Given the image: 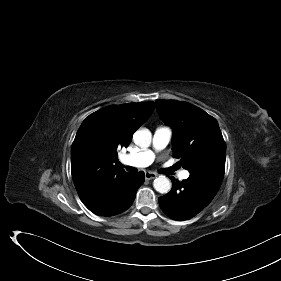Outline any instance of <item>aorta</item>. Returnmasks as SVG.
I'll list each match as a JSON object with an SVG mask.
<instances>
[{
    "label": "aorta",
    "instance_id": "aorta-1",
    "mask_svg": "<svg viewBox=\"0 0 281 281\" xmlns=\"http://www.w3.org/2000/svg\"><path fill=\"white\" fill-rule=\"evenodd\" d=\"M133 140L137 146L147 148L151 144L152 134L148 129H139L134 133ZM171 186L170 180L165 176H159L153 182L154 189L161 194L168 193Z\"/></svg>",
    "mask_w": 281,
    "mask_h": 281
}]
</instances>
